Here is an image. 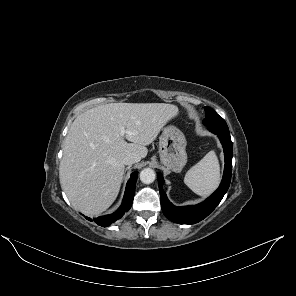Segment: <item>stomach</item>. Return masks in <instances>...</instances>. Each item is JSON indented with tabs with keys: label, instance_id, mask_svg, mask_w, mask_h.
<instances>
[{
	"label": "stomach",
	"instance_id": "stomach-1",
	"mask_svg": "<svg viewBox=\"0 0 296 296\" xmlns=\"http://www.w3.org/2000/svg\"><path fill=\"white\" fill-rule=\"evenodd\" d=\"M186 139L175 126L163 129L159 138V155L161 163L169 170L180 172L187 163Z\"/></svg>",
	"mask_w": 296,
	"mask_h": 296
}]
</instances>
